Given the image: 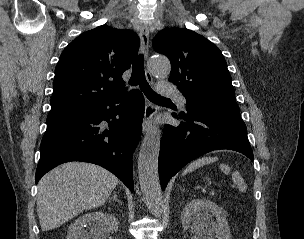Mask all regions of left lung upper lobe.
<instances>
[{
    "instance_id": "left-lung-upper-lobe-1",
    "label": "left lung upper lobe",
    "mask_w": 304,
    "mask_h": 239,
    "mask_svg": "<svg viewBox=\"0 0 304 239\" xmlns=\"http://www.w3.org/2000/svg\"><path fill=\"white\" fill-rule=\"evenodd\" d=\"M153 47L169 58V81L186 98L187 115L241 118L227 63L217 46L194 31L166 28L155 36Z\"/></svg>"
}]
</instances>
